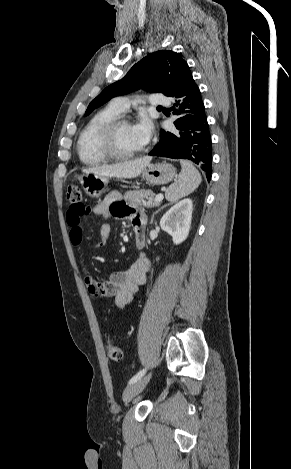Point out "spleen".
<instances>
[{"label": "spleen", "mask_w": 291, "mask_h": 469, "mask_svg": "<svg viewBox=\"0 0 291 469\" xmlns=\"http://www.w3.org/2000/svg\"><path fill=\"white\" fill-rule=\"evenodd\" d=\"M180 163L182 169L178 180L171 184L165 193L166 199L170 202H176L189 195L202 181L199 171L189 161L181 160Z\"/></svg>", "instance_id": "1"}]
</instances>
